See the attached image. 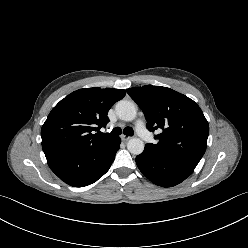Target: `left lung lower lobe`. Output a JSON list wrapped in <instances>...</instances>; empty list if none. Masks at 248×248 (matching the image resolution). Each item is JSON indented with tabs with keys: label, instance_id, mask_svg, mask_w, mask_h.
<instances>
[{
	"label": "left lung lower lobe",
	"instance_id": "left-lung-lower-lobe-1",
	"mask_svg": "<svg viewBox=\"0 0 248 248\" xmlns=\"http://www.w3.org/2000/svg\"><path fill=\"white\" fill-rule=\"evenodd\" d=\"M136 164L150 181L162 187H171L181 183L191 175L196 167L192 163L155 154L147 148L136 157Z\"/></svg>",
	"mask_w": 248,
	"mask_h": 248
}]
</instances>
